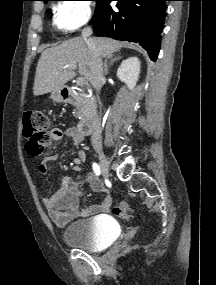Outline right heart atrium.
<instances>
[{"instance_id": "obj_1", "label": "right heart atrium", "mask_w": 216, "mask_h": 285, "mask_svg": "<svg viewBox=\"0 0 216 285\" xmlns=\"http://www.w3.org/2000/svg\"><path fill=\"white\" fill-rule=\"evenodd\" d=\"M91 18L90 3L85 0H65L55 9L54 23L63 32H73Z\"/></svg>"}]
</instances>
